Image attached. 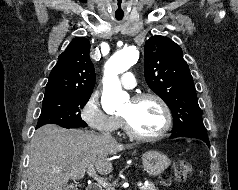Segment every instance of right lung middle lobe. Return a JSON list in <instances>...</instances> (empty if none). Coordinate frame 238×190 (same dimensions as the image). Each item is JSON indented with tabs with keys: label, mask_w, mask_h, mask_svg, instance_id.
Returning a JSON list of instances; mask_svg holds the SVG:
<instances>
[{
	"label": "right lung middle lobe",
	"mask_w": 238,
	"mask_h": 190,
	"mask_svg": "<svg viewBox=\"0 0 238 190\" xmlns=\"http://www.w3.org/2000/svg\"><path fill=\"white\" fill-rule=\"evenodd\" d=\"M90 95H63L43 99L41 115L36 128L58 124L65 128L86 127L80 116Z\"/></svg>",
	"instance_id": "dd1d6c3e"
}]
</instances>
